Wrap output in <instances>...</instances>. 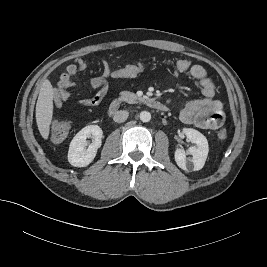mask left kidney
<instances>
[{
    "instance_id": "obj_1",
    "label": "left kidney",
    "mask_w": 267,
    "mask_h": 267,
    "mask_svg": "<svg viewBox=\"0 0 267 267\" xmlns=\"http://www.w3.org/2000/svg\"><path fill=\"white\" fill-rule=\"evenodd\" d=\"M183 133L196 146L189 147L187 153L181 148L176 149L175 161L184 171H198L203 168L208 156V141L202 133L192 128H184ZM186 154L192 157L186 158Z\"/></svg>"
}]
</instances>
